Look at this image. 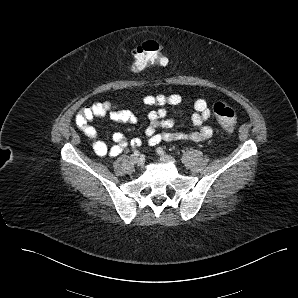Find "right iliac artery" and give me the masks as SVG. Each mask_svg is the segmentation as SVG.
<instances>
[{"label": "right iliac artery", "mask_w": 298, "mask_h": 298, "mask_svg": "<svg viewBox=\"0 0 298 298\" xmlns=\"http://www.w3.org/2000/svg\"><path fill=\"white\" fill-rule=\"evenodd\" d=\"M134 155H137L138 156L139 155V152L135 150L134 151Z\"/></svg>", "instance_id": "1"}]
</instances>
